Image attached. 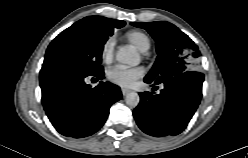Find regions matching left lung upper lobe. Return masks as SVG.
<instances>
[{"label": "left lung upper lobe", "instance_id": "left-lung-upper-lobe-1", "mask_svg": "<svg viewBox=\"0 0 248 158\" xmlns=\"http://www.w3.org/2000/svg\"><path fill=\"white\" fill-rule=\"evenodd\" d=\"M132 25L147 30L156 41L158 57L145 78L160 84L194 69L201 53L198 46L176 26L164 21L133 22Z\"/></svg>", "mask_w": 248, "mask_h": 158}]
</instances>
